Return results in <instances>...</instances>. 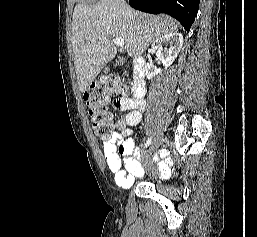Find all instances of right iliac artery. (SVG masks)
Here are the masks:
<instances>
[{
	"instance_id": "82829eb1",
	"label": "right iliac artery",
	"mask_w": 257,
	"mask_h": 237,
	"mask_svg": "<svg viewBox=\"0 0 257 237\" xmlns=\"http://www.w3.org/2000/svg\"><path fill=\"white\" fill-rule=\"evenodd\" d=\"M151 140H152L151 137H149V138L147 139V141H146V143H145V148H147V147L151 144ZM160 154H161V156H166V155H167V152H166V150H161Z\"/></svg>"
}]
</instances>
